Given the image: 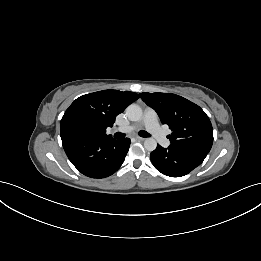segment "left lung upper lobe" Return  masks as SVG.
<instances>
[{
    "label": "left lung upper lobe",
    "mask_w": 261,
    "mask_h": 261,
    "mask_svg": "<svg viewBox=\"0 0 261 261\" xmlns=\"http://www.w3.org/2000/svg\"><path fill=\"white\" fill-rule=\"evenodd\" d=\"M140 96L172 130L168 136L171 145L209 153L213 129L208 116L198 105L176 94L145 92Z\"/></svg>",
    "instance_id": "obj_1"
}]
</instances>
